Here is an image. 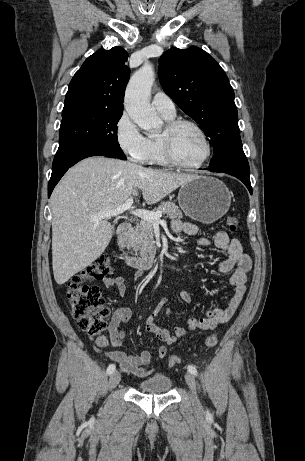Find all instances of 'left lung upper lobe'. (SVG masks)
Returning a JSON list of instances; mask_svg holds the SVG:
<instances>
[{
    "label": "left lung upper lobe",
    "instance_id": "obj_1",
    "mask_svg": "<svg viewBox=\"0 0 305 461\" xmlns=\"http://www.w3.org/2000/svg\"><path fill=\"white\" fill-rule=\"evenodd\" d=\"M165 93L209 137L214 148L213 171L239 168L249 172L241 145L234 91L220 65L204 50L171 48L159 59Z\"/></svg>",
    "mask_w": 305,
    "mask_h": 461
}]
</instances>
